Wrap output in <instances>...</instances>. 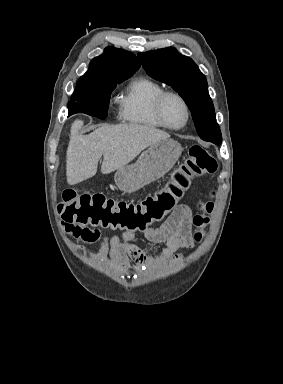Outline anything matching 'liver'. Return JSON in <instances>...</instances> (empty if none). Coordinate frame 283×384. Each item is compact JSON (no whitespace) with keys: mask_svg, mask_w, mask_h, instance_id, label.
<instances>
[{"mask_svg":"<svg viewBox=\"0 0 283 384\" xmlns=\"http://www.w3.org/2000/svg\"><path fill=\"white\" fill-rule=\"evenodd\" d=\"M82 126V120H75L70 130L66 176L71 186L95 176L101 156L104 158L101 172L110 174L132 162L152 144L170 138L163 130L139 124L102 126L92 134L82 136L79 134Z\"/></svg>","mask_w":283,"mask_h":384,"instance_id":"1","label":"liver"}]
</instances>
